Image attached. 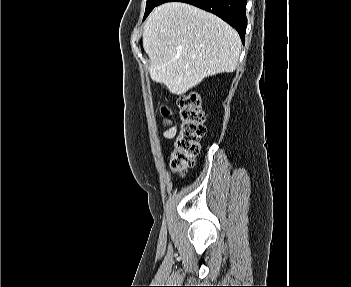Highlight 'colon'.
I'll return each mask as SVG.
<instances>
[{"instance_id": "5ec220e1", "label": "colon", "mask_w": 351, "mask_h": 287, "mask_svg": "<svg viewBox=\"0 0 351 287\" xmlns=\"http://www.w3.org/2000/svg\"><path fill=\"white\" fill-rule=\"evenodd\" d=\"M167 114V110H164ZM180 129L170 153V166L178 177L194 164L199 141L205 134L204 112L199 95L189 92L179 99Z\"/></svg>"}]
</instances>
